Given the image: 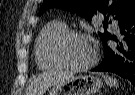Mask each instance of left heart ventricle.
Masks as SVG:
<instances>
[{"instance_id": "obj_1", "label": "left heart ventricle", "mask_w": 135, "mask_h": 95, "mask_svg": "<svg viewBox=\"0 0 135 95\" xmlns=\"http://www.w3.org/2000/svg\"><path fill=\"white\" fill-rule=\"evenodd\" d=\"M63 56L71 64H85L93 56V47L87 39L75 37L66 42Z\"/></svg>"}]
</instances>
